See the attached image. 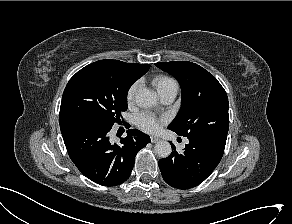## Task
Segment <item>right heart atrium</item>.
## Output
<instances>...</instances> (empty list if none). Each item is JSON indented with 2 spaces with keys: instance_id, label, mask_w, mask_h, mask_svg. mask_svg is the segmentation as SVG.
<instances>
[{
  "instance_id": "d8ad5b80",
  "label": "right heart atrium",
  "mask_w": 292,
  "mask_h": 224,
  "mask_svg": "<svg viewBox=\"0 0 292 224\" xmlns=\"http://www.w3.org/2000/svg\"><path fill=\"white\" fill-rule=\"evenodd\" d=\"M139 87H140V83L139 82H135L129 87V89L127 91V94H126V100H127L128 104L133 103V101H134V99L136 97V94L138 92Z\"/></svg>"
}]
</instances>
